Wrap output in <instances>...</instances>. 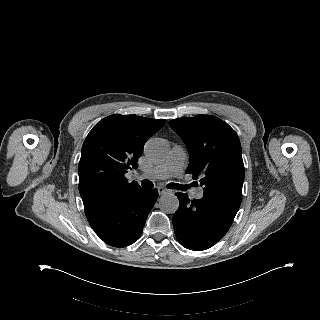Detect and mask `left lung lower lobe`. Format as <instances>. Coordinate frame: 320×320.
Here are the masks:
<instances>
[{"mask_svg": "<svg viewBox=\"0 0 320 320\" xmlns=\"http://www.w3.org/2000/svg\"><path fill=\"white\" fill-rule=\"evenodd\" d=\"M179 208L172 220L179 243L187 249L202 251L216 244L229 230L238 210L203 196L190 200L176 193Z\"/></svg>", "mask_w": 320, "mask_h": 320, "instance_id": "1", "label": "left lung lower lobe"}]
</instances>
